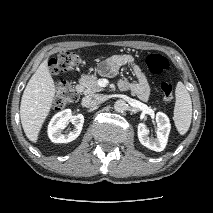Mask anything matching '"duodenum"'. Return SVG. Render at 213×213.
<instances>
[{"instance_id":"duodenum-1","label":"duodenum","mask_w":213,"mask_h":213,"mask_svg":"<svg viewBox=\"0 0 213 213\" xmlns=\"http://www.w3.org/2000/svg\"><path fill=\"white\" fill-rule=\"evenodd\" d=\"M77 92L79 93V92H80V90H79V89H77Z\"/></svg>"}]
</instances>
